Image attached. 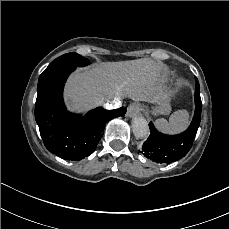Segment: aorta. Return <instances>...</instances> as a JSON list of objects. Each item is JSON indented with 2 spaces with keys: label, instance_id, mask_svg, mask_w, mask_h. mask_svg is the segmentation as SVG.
I'll return each mask as SVG.
<instances>
[{
  "label": "aorta",
  "instance_id": "1",
  "mask_svg": "<svg viewBox=\"0 0 229 229\" xmlns=\"http://www.w3.org/2000/svg\"><path fill=\"white\" fill-rule=\"evenodd\" d=\"M132 130L134 135L139 138L143 139L146 138L149 134V126L147 121L140 116H136L132 119Z\"/></svg>",
  "mask_w": 229,
  "mask_h": 229
}]
</instances>
